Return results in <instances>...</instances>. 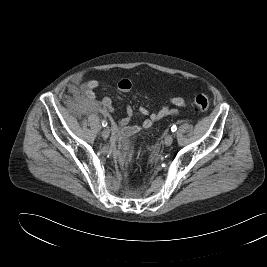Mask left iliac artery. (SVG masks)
I'll use <instances>...</instances> for the list:
<instances>
[{
  "mask_svg": "<svg viewBox=\"0 0 267 267\" xmlns=\"http://www.w3.org/2000/svg\"><path fill=\"white\" fill-rule=\"evenodd\" d=\"M177 130V126L176 125H173L172 127H171V131L172 132H175Z\"/></svg>",
  "mask_w": 267,
  "mask_h": 267,
  "instance_id": "left-iliac-artery-1",
  "label": "left iliac artery"
}]
</instances>
